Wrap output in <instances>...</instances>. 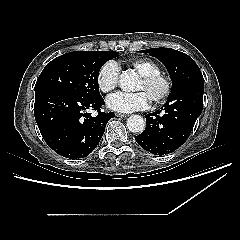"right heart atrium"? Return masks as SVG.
Returning <instances> with one entry per match:
<instances>
[{
  "instance_id": "right-heart-atrium-1",
  "label": "right heart atrium",
  "mask_w": 240,
  "mask_h": 240,
  "mask_svg": "<svg viewBox=\"0 0 240 240\" xmlns=\"http://www.w3.org/2000/svg\"><path fill=\"white\" fill-rule=\"evenodd\" d=\"M119 80V67L115 61L105 62L98 70L97 85L101 92L108 93L113 90Z\"/></svg>"
}]
</instances>
